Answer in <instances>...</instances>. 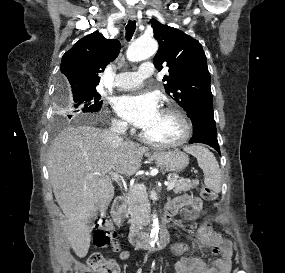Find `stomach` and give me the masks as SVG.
Segmentation results:
<instances>
[{
  "label": "stomach",
  "instance_id": "stomach-1",
  "mask_svg": "<svg viewBox=\"0 0 285 273\" xmlns=\"http://www.w3.org/2000/svg\"><path fill=\"white\" fill-rule=\"evenodd\" d=\"M152 158L161 167L170 170L181 171L189 164V157L178 150L157 152L152 155Z\"/></svg>",
  "mask_w": 285,
  "mask_h": 273
}]
</instances>
